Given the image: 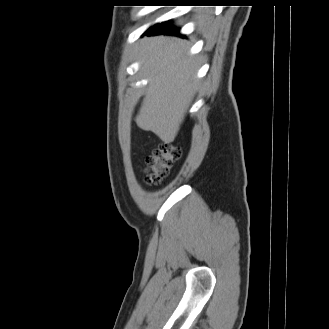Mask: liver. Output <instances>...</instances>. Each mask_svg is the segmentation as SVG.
Instances as JSON below:
<instances>
[{"mask_svg": "<svg viewBox=\"0 0 329 329\" xmlns=\"http://www.w3.org/2000/svg\"><path fill=\"white\" fill-rule=\"evenodd\" d=\"M188 45L169 37L144 39L142 71L150 78L136 123L163 142L174 141L196 92V59L187 57Z\"/></svg>", "mask_w": 329, "mask_h": 329, "instance_id": "1", "label": "liver"}]
</instances>
